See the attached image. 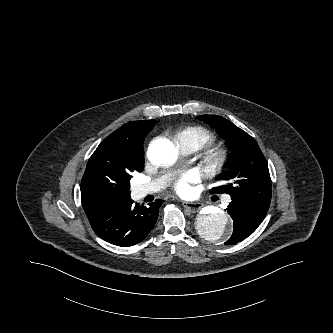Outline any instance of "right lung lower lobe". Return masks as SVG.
<instances>
[{
    "mask_svg": "<svg viewBox=\"0 0 333 333\" xmlns=\"http://www.w3.org/2000/svg\"><path fill=\"white\" fill-rule=\"evenodd\" d=\"M163 200L149 206L133 204L130 197L89 218L95 233L103 240L122 247L141 242L154 227Z\"/></svg>",
    "mask_w": 333,
    "mask_h": 333,
    "instance_id": "right-lung-lower-lobe-1",
    "label": "right lung lower lobe"
}]
</instances>
